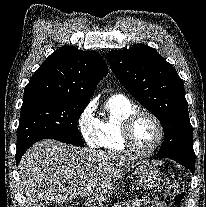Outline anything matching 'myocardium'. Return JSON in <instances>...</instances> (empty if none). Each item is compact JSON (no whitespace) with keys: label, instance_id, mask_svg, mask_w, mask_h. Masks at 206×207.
Wrapping results in <instances>:
<instances>
[{"label":"myocardium","instance_id":"obj_1","mask_svg":"<svg viewBox=\"0 0 206 207\" xmlns=\"http://www.w3.org/2000/svg\"><path fill=\"white\" fill-rule=\"evenodd\" d=\"M141 117H148L156 124L158 128V138L154 146L147 150H141L135 146L132 137V128L136 121ZM165 138V129L161 120L152 112L146 110H135L123 122L121 128V140L126 151L131 152L137 156H149L155 153L162 145Z\"/></svg>","mask_w":206,"mask_h":207}]
</instances>
